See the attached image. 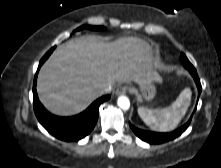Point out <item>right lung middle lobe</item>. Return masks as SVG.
Listing matches in <instances>:
<instances>
[{"mask_svg":"<svg viewBox=\"0 0 221 168\" xmlns=\"http://www.w3.org/2000/svg\"><path fill=\"white\" fill-rule=\"evenodd\" d=\"M82 29H90V30H103L104 27L100 26H89V25H83L76 29V31L82 30ZM75 32V31H74Z\"/></svg>","mask_w":221,"mask_h":168,"instance_id":"right-lung-middle-lobe-1","label":"right lung middle lobe"}]
</instances>
